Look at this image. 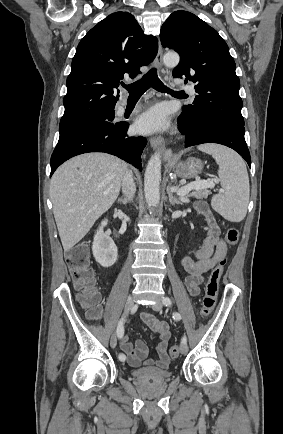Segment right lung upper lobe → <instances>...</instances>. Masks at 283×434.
<instances>
[{
	"label": "right lung upper lobe",
	"mask_w": 283,
	"mask_h": 434,
	"mask_svg": "<svg viewBox=\"0 0 283 434\" xmlns=\"http://www.w3.org/2000/svg\"><path fill=\"white\" fill-rule=\"evenodd\" d=\"M157 51V38L144 34L133 15L116 12L107 16L85 35L76 49L61 119L113 111L124 75L134 79L141 73V66L153 61Z\"/></svg>",
	"instance_id": "right-lung-upper-lobe-1"
}]
</instances>
